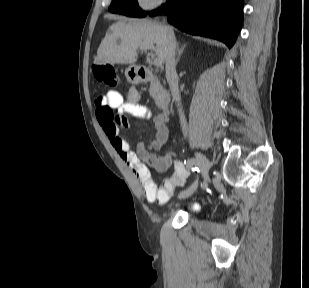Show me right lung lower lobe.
<instances>
[{"mask_svg":"<svg viewBox=\"0 0 309 288\" xmlns=\"http://www.w3.org/2000/svg\"><path fill=\"white\" fill-rule=\"evenodd\" d=\"M160 11L150 12L151 16ZM168 21L194 35L218 39L233 46L242 26V0H168L164 6Z\"/></svg>","mask_w":309,"mask_h":288,"instance_id":"98d812e1","label":"right lung lower lobe"}]
</instances>
